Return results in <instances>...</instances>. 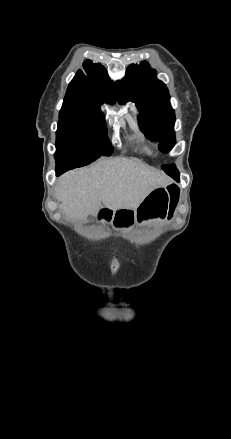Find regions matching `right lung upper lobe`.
<instances>
[{
	"label": "right lung upper lobe",
	"instance_id": "obj_1",
	"mask_svg": "<svg viewBox=\"0 0 231 439\" xmlns=\"http://www.w3.org/2000/svg\"><path fill=\"white\" fill-rule=\"evenodd\" d=\"M85 74L79 70L70 82L61 111L100 110L104 102L120 100V83L112 82L107 70L99 63L86 60L83 63Z\"/></svg>",
	"mask_w": 231,
	"mask_h": 439
}]
</instances>
